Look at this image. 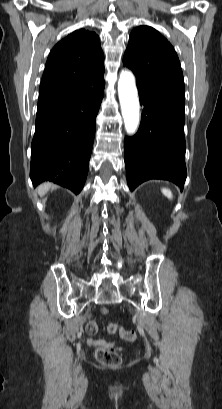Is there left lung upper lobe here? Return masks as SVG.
<instances>
[{"label":"left lung upper lobe","mask_w":222,"mask_h":409,"mask_svg":"<svg viewBox=\"0 0 222 409\" xmlns=\"http://www.w3.org/2000/svg\"><path fill=\"white\" fill-rule=\"evenodd\" d=\"M136 76L138 88L152 90L172 101L185 102L183 74L172 45L149 26L135 28L123 58Z\"/></svg>","instance_id":"obj_1"}]
</instances>
